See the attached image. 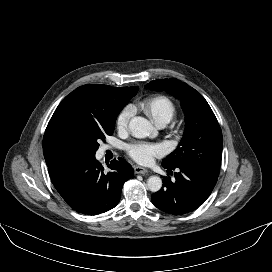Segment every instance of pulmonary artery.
<instances>
[{
    "label": "pulmonary artery",
    "instance_id": "obj_1",
    "mask_svg": "<svg viewBox=\"0 0 272 272\" xmlns=\"http://www.w3.org/2000/svg\"><path fill=\"white\" fill-rule=\"evenodd\" d=\"M165 125L164 124H160V125H158V127H160V128H162V127H164Z\"/></svg>",
    "mask_w": 272,
    "mask_h": 272
}]
</instances>
